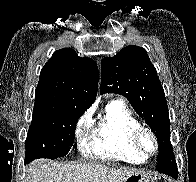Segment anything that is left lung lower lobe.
Returning <instances> with one entry per match:
<instances>
[{
  "label": "left lung lower lobe",
  "mask_w": 196,
  "mask_h": 182,
  "mask_svg": "<svg viewBox=\"0 0 196 182\" xmlns=\"http://www.w3.org/2000/svg\"><path fill=\"white\" fill-rule=\"evenodd\" d=\"M159 160L160 162H164V163H170V162H173L174 160V154H170V152L166 151V152H163V151H159ZM175 179H177V177H175Z\"/></svg>",
  "instance_id": "0a47b994"
}]
</instances>
